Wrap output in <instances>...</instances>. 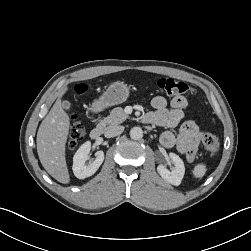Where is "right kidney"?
Returning <instances> with one entry per match:
<instances>
[{"label": "right kidney", "mask_w": 251, "mask_h": 251, "mask_svg": "<svg viewBox=\"0 0 251 251\" xmlns=\"http://www.w3.org/2000/svg\"><path fill=\"white\" fill-rule=\"evenodd\" d=\"M91 149V142L87 141L84 144L81 145V147L77 150L73 157V172L74 175L79 179H84L89 176H92L98 168L101 166V164L104 161V152L98 151L96 152L95 160L89 164L86 165V161L88 160V154Z\"/></svg>", "instance_id": "1"}]
</instances>
